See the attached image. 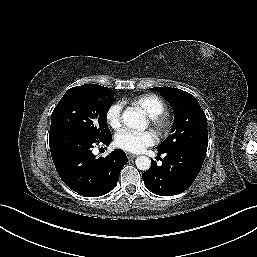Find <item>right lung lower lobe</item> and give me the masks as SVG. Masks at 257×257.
Here are the masks:
<instances>
[{
    "label": "right lung lower lobe",
    "instance_id": "right-lung-lower-lobe-1",
    "mask_svg": "<svg viewBox=\"0 0 257 257\" xmlns=\"http://www.w3.org/2000/svg\"><path fill=\"white\" fill-rule=\"evenodd\" d=\"M111 138L94 140L80 134L49 137L51 156L62 181L73 191L87 197H97L111 191L127 163L124 151L115 149L105 158L92 153L93 144L109 145Z\"/></svg>",
    "mask_w": 257,
    "mask_h": 257
}]
</instances>
